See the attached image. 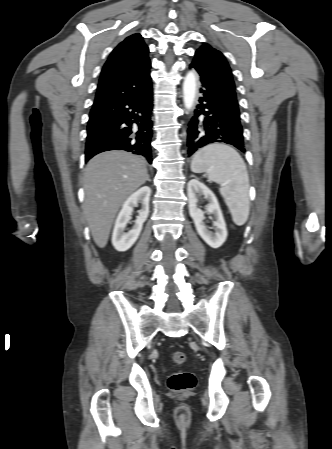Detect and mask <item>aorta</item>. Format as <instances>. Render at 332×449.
<instances>
[{"label":"aorta","instance_id":"aorta-1","mask_svg":"<svg viewBox=\"0 0 332 449\" xmlns=\"http://www.w3.org/2000/svg\"><path fill=\"white\" fill-rule=\"evenodd\" d=\"M183 102L185 108L189 111L192 109L196 97V75L194 71H189L183 82Z\"/></svg>","mask_w":332,"mask_h":449}]
</instances>
